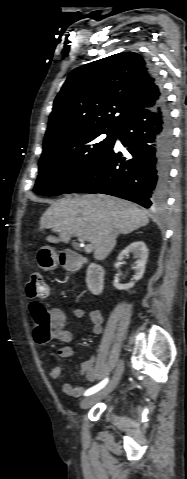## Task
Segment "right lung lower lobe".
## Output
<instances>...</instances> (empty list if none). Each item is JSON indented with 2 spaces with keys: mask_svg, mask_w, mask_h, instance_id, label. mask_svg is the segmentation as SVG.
<instances>
[{
  "mask_svg": "<svg viewBox=\"0 0 187 479\" xmlns=\"http://www.w3.org/2000/svg\"><path fill=\"white\" fill-rule=\"evenodd\" d=\"M161 98L152 108L134 113L118 129L131 156L112 148L65 193H103L124 198L145 208L164 205L171 163L172 124L158 76ZM115 139V140H116Z\"/></svg>",
  "mask_w": 187,
  "mask_h": 479,
  "instance_id": "right-lung-lower-lobe-1",
  "label": "right lung lower lobe"
}]
</instances>
